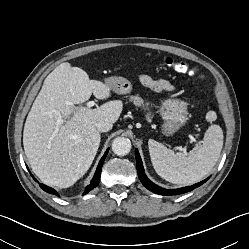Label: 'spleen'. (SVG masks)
Here are the masks:
<instances>
[{
    "label": "spleen",
    "mask_w": 249,
    "mask_h": 249,
    "mask_svg": "<svg viewBox=\"0 0 249 249\" xmlns=\"http://www.w3.org/2000/svg\"><path fill=\"white\" fill-rule=\"evenodd\" d=\"M217 119L214 111L206 114V120ZM223 131L219 125H211L204 134L203 144L188 154L174 152L163 144L150 139L149 153L157 174L174 184H193L204 178L214 167L223 147Z\"/></svg>",
    "instance_id": "obj_1"
}]
</instances>
